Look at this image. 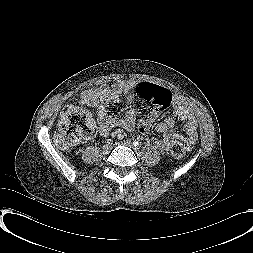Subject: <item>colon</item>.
Returning <instances> with one entry per match:
<instances>
[{
    "label": "colon",
    "instance_id": "colon-1",
    "mask_svg": "<svg viewBox=\"0 0 253 253\" xmlns=\"http://www.w3.org/2000/svg\"><path fill=\"white\" fill-rule=\"evenodd\" d=\"M93 133V127L88 122L87 115L77 107L68 106L64 109L55 134L56 144L63 149H70ZM185 150L180 144H174L171 154L182 158Z\"/></svg>",
    "mask_w": 253,
    "mask_h": 253
}]
</instances>
